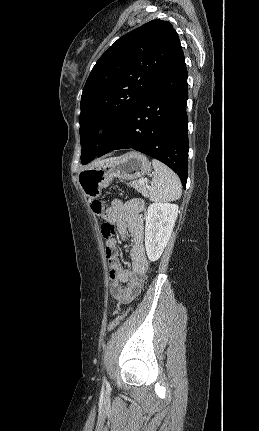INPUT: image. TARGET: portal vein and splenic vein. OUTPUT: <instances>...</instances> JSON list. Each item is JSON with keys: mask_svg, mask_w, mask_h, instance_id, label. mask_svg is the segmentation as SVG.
<instances>
[{"mask_svg": "<svg viewBox=\"0 0 259 431\" xmlns=\"http://www.w3.org/2000/svg\"><path fill=\"white\" fill-rule=\"evenodd\" d=\"M139 182L140 183H145V180L144 179H140Z\"/></svg>", "mask_w": 259, "mask_h": 431, "instance_id": "obj_1", "label": "portal vein and splenic vein"}]
</instances>
